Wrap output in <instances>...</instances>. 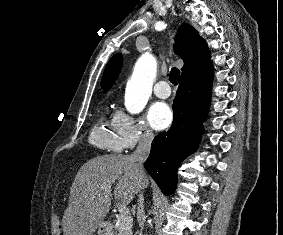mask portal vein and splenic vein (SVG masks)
Returning <instances> with one entry per match:
<instances>
[{
	"mask_svg": "<svg viewBox=\"0 0 283 235\" xmlns=\"http://www.w3.org/2000/svg\"><path fill=\"white\" fill-rule=\"evenodd\" d=\"M116 208L118 209L119 213L122 215V216H126L129 214V209L126 207V205L118 202L116 204Z\"/></svg>",
	"mask_w": 283,
	"mask_h": 235,
	"instance_id": "1",
	"label": "portal vein and splenic vein"
}]
</instances>
